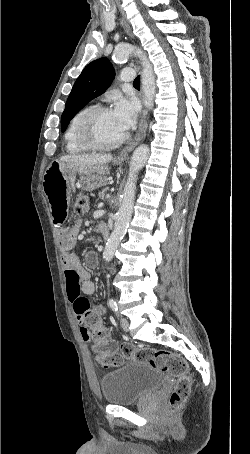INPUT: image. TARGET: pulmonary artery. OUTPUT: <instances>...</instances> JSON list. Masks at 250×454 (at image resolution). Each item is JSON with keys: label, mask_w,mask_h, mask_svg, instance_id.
<instances>
[{"label": "pulmonary artery", "mask_w": 250, "mask_h": 454, "mask_svg": "<svg viewBox=\"0 0 250 454\" xmlns=\"http://www.w3.org/2000/svg\"><path fill=\"white\" fill-rule=\"evenodd\" d=\"M135 73L131 68H124L120 71V80L123 82H130L134 80Z\"/></svg>", "instance_id": "obj_1"}]
</instances>
